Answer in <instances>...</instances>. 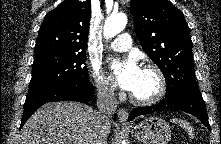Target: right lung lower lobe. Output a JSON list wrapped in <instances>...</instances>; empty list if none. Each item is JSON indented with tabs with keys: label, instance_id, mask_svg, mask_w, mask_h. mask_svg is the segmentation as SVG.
Listing matches in <instances>:
<instances>
[{
	"label": "right lung lower lobe",
	"instance_id": "98d812e1",
	"mask_svg": "<svg viewBox=\"0 0 221 144\" xmlns=\"http://www.w3.org/2000/svg\"><path fill=\"white\" fill-rule=\"evenodd\" d=\"M93 96L94 87L90 82L87 84L60 83L49 86L30 97H26L21 127L27 119L45 103L66 100L86 103L90 101Z\"/></svg>",
	"mask_w": 221,
	"mask_h": 144
}]
</instances>
